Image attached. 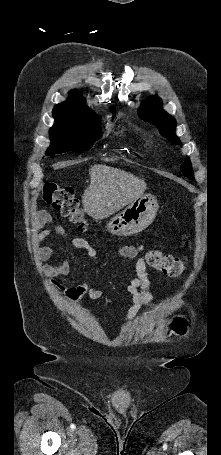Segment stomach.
<instances>
[{
	"label": "stomach",
	"mask_w": 221,
	"mask_h": 455,
	"mask_svg": "<svg viewBox=\"0 0 221 455\" xmlns=\"http://www.w3.org/2000/svg\"><path fill=\"white\" fill-rule=\"evenodd\" d=\"M159 205L152 194H145L111 218L106 229L112 235L131 236L146 229L155 219Z\"/></svg>",
	"instance_id": "stomach-1"
}]
</instances>
